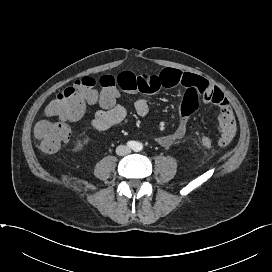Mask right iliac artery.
Returning a JSON list of instances; mask_svg holds the SVG:
<instances>
[{"instance_id": "82829eb1", "label": "right iliac artery", "mask_w": 272, "mask_h": 272, "mask_svg": "<svg viewBox=\"0 0 272 272\" xmlns=\"http://www.w3.org/2000/svg\"><path fill=\"white\" fill-rule=\"evenodd\" d=\"M127 145L131 148H133L135 146V142L134 141H128Z\"/></svg>"}]
</instances>
